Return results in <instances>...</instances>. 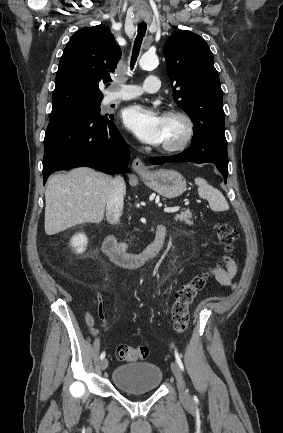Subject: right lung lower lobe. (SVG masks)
<instances>
[{
  "instance_id": "right-lung-lower-lobe-1",
  "label": "right lung lower lobe",
  "mask_w": 283,
  "mask_h": 433,
  "mask_svg": "<svg viewBox=\"0 0 283 433\" xmlns=\"http://www.w3.org/2000/svg\"><path fill=\"white\" fill-rule=\"evenodd\" d=\"M113 118L99 112L50 118L44 139L43 184L53 172L75 167L107 174L124 172L129 151Z\"/></svg>"
}]
</instances>
